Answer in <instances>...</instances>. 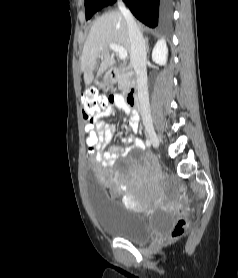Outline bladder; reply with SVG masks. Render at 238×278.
<instances>
[{
	"label": "bladder",
	"mask_w": 238,
	"mask_h": 278,
	"mask_svg": "<svg viewBox=\"0 0 238 278\" xmlns=\"http://www.w3.org/2000/svg\"><path fill=\"white\" fill-rule=\"evenodd\" d=\"M86 180H97V175H86ZM94 217L107 235L133 243H142L156 234L166 232L174 223V216L157 210L150 216L126 207L119 200L105 193L98 181H87Z\"/></svg>",
	"instance_id": "1"
}]
</instances>
